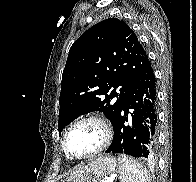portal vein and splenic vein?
<instances>
[{
	"instance_id": "18ae733b",
	"label": "portal vein and splenic vein",
	"mask_w": 196,
	"mask_h": 182,
	"mask_svg": "<svg viewBox=\"0 0 196 182\" xmlns=\"http://www.w3.org/2000/svg\"><path fill=\"white\" fill-rule=\"evenodd\" d=\"M101 182H108L107 180H101Z\"/></svg>"
}]
</instances>
